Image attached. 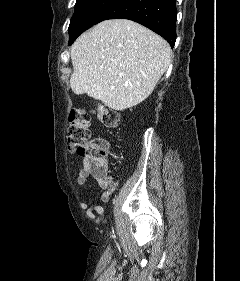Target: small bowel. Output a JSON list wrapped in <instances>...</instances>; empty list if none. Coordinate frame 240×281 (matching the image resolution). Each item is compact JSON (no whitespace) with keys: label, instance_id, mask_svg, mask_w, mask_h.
Returning <instances> with one entry per match:
<instances>
[{"label":"small bowel","instance_id":"1","mask_svg":"<svg viewBox=\"0 0 240 281\" xmlns=\"http://www.w3.org/2000/svg\"><path fill=\"white\" fill-rule=\"evenodd\" d=\"M83 165H84V167L77 173V177H76L77 183L79 185H84L87 182L88 178L91 177L92 180L101 189H103V193L101 195V200H102V202L107 203L110 199L111 194L116 189V183L112 179H109L106 176V173L104 175H97V174L93 173L89 169V160L88 159L83 160ZM80 207L82 209H85L88 211V216L91 219H94L96 217L95 214L104 215V209L99 205H92L88 202H81Z\"/></svg>","mask_w":240,"mask_h":281}]
</instances>
